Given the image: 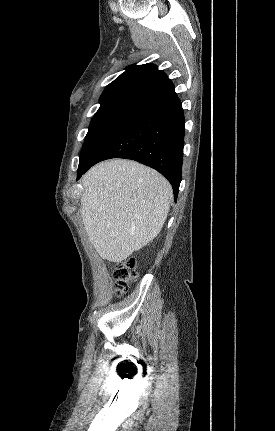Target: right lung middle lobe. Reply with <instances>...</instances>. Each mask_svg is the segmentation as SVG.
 Wrapping results in <instances>:
<instances>
[{"instance_id": "obj_1", "label": "right lung middle lobe", "mask_w": 275, "mask_h": 431, "mask_svg": "<svg viewBox=\"0 0 275 431\" xmlns=\"http://www.w3.org/2000/svg\"><path fill=\"white\" fill-rule=\"evenodd\" d=\"M135 112L133 110H115L93 116L81 150L78 170L89 164Z\"/></svg>"}]
</instances>
